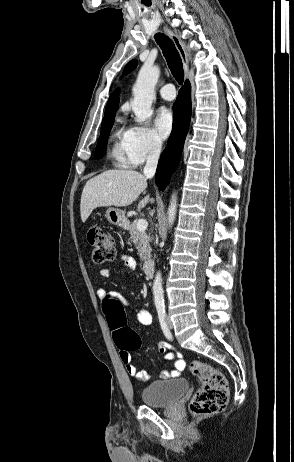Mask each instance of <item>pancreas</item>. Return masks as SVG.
<instances>
[{
    "label": "pancreas",
    "instance_id": "1",
    "mask_svg": "<svg viewBox=\"0 0 294 462\" xmlns=\"http://www.w3.org/2000/svg\"><path fill=\"white\" fill-rule=\"evenodd\" d=\"M138 220H134L129 226L130 238L137 244V249L141 260H147L151 257L150 236L144 231L137 229Z\"/></svg>",
    "mask_w": 294,
    "mask_h": 462
}]
</instances>
